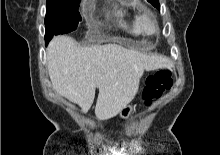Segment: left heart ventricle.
I'll use <instances>...</instances> for the list:
<instances>
[{
    "label": "left heart ventricle",
    "instance_id": "obj_1",
    "mask_svg": "<svg viewBox=\"0 0 220 155\" xmlns=\"http://www.w3.org/2000/svg\"><path fill=\"white\" fill-rule=\"evenodd\" d=\"M144 28L147 32L149 33H152L154 31V25H153V22L149 19H147L145 22H144Z\"/></svg>",
    "mask_w": 220,
    "mask_h": 155
}]
</instances>
